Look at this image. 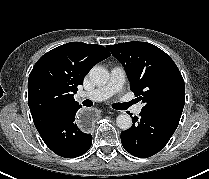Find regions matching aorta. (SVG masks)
<instances>
[{
	"mask_svg": "<svg viewBox=\"0 0 209 179\" xmlns=\"http://www.w3.org/2000/svg\"><path fill=\"white\" fill-rule=\"evenodd\" d=\"M91 82L97 86L105 85L109 80L108 71L102 66H94L89 72ZM117 126L122 130H128L132 126V119L128 114H120L116 118Z\"/></svg>",
	"mask_w": 209,
	"mask_h": 179,
	"instance_id": "762f6f07",
	"label": "aorta"
}]
</instances>
